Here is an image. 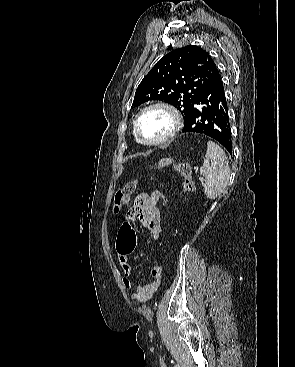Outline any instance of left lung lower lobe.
<instances>
[{"mask_svg":"<svg viewBox=\"0 0 295 367\" xmlns=\"http://www.w3.org/2000/svg\"><path fill=\"white\" fill-rule=\"evenodd\" d=\"M182 131L207 135L232 154L228 104L217 68L191 105Z\"/></svg>","mask_w":295,"mask_h":367,"instance_id":"left-lung-lower-lobe-1","label":"left lung lower lobe"}]
</instances>
